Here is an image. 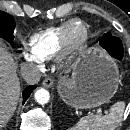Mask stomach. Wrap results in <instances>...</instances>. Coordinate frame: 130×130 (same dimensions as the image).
Returning <instances> with one entry per match:
<instances>
[{"label": "stomach", "mask_w": 130, "mask_h": 130, "mask_svg": "<svg viewBox=\"0 0 130 130\" xmlns=\"http://www.w3.org/2000/svg\"><path fill=\"white\" fill-rule=\"evenodd\" d=\"M118 67L98 48H90L78 59L72 77L58 85L63 101L75 108L98 107L110 101L117 92Z\"/></svg>", "instance_id": "0dacf381"}]
</instances>
